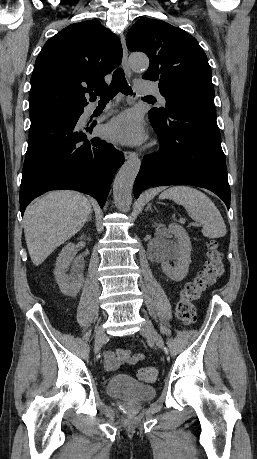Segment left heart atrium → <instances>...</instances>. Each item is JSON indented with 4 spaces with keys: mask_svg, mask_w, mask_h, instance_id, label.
<instances>
[{
    "mask_svg": "<svg viewBox=\"0 0 257 459\" xmlns=\"http://www.w3.org/2000/svg\"><path fill=\"white\" fill-rule=\"evenodd\" d=\"M107 136L115 142L136 145L146 139V131L141 116L128 110L113 118L106 126Z\"/></svg>",
    "mask_w": 257,
    "mask_h": 459,
    "instance_id": "left-heart-atrium-1",
    "label": "left heart atrium"
}]
</instances>
